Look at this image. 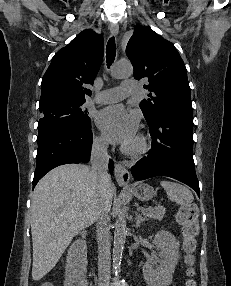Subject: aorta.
I'll return each instance as SVG.
<instances>
[{
    "label": "aorta",
    "instance_id": "obj_1",
    "mask_svg": "<svg viewBox=\"0 0 231 286\" xmlns=\"http://www.w3.org/2000/svg\"><path fill=\"white\" fill-rule=\"evenodd\" d=\"M133 67L129 62H119L115 64L112 69V76L114 78H123L132 75ZM126 206L122 202L121 207L118 211V219L115 223V231H114V245H113V269L115 274H117L120 270V265L122 261V253L124 249V244L127 235L126 228Z\"/></svg>",
    "mask_w": 231,
    "mask_h": 286
}]
</instances>
